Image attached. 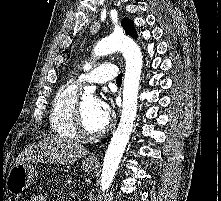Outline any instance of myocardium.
Listing matches in <instances>:
<instances>
[{"mask_svg":"<svg viewBox=\"0 0 221 201\" xmlns=\"http://www.w3.org/2000/svg\"><path fill=\"white\" fill-rule=\"evenodd\" d=\"M74 125L75 130L78 136L85 138V139H96L103 136L112 126L111 121L109 120L107 124L98 132H89L84 124L83 119V102L79 100L75 110V117H74Z\"/></svg>","mask_w":221,"mask_h":201,"instance_id":"myocardium-1","label":"myocardium"}]
</instances>
